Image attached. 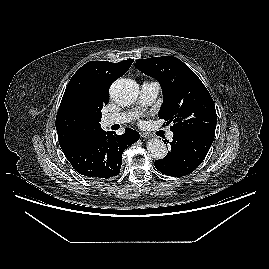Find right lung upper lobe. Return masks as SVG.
<instances>
[{"mask_svg":"<svg viewBox=\"0 0 269 269\" xmlns=\"http://www.w3.org/2000/svg\"><path fill=\"white\" fill-rule=\"evenodd\" d=\"M132 62L90 61L73 75L56 116L62 149L102 130L101 109L109 102L110 85L128 71Z\"/></svg>","mask_w":269,"mask_h":269,"instance_id":"1","label":"right lung upper lobe"}]
</instances>
